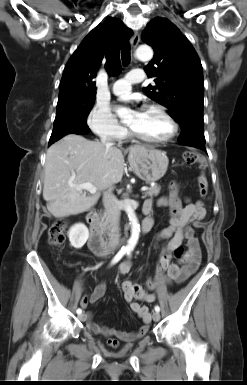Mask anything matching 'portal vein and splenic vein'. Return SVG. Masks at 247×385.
Returning a JSON list of instances; mask_svg holds the SVG:
<instances>
[{
	"label": "portal vein and splenic vein",
	"mask_w": 247,
	"mask_h": 385,
	"mask_svg": "<svg viewBox=\"0 0 247 385\" xmlns=\"http://www.w3.org/2000/svg\"><path fill=\"white\" fill-rule=\"evenodd\" d=\"M71 186L75 187L76 189L87 190V191H89L92 194L96 193V191H97L96 187L92 183H90V182H85V183H82V184L71 185ZM146 190H147V187H142L141 188L142 192H145Z\"/></svg>",
	"instance_id": "obj_1"
}]
</instances>
